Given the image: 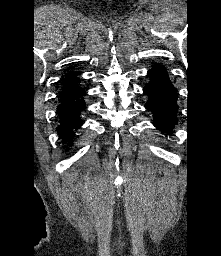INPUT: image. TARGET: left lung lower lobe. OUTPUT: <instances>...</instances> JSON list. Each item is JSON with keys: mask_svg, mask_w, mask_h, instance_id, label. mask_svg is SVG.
Segmentation results:
<instances>
[{"mask_svg": "<svg viewBox=\"0 0 221 256\" xmlns=\"http://www.w3.org/2000/svg\"><path fill=\"white\" fill-rule=\"evenodd\" d=\"M148 76L151 81L143 89L149 97L145 107L153 112L154 126L170 133L177 123L176 91L163 68L154 66L148 71Z\"/></svg>", "mask_w": 221, "mask_h": 256, "instance_id": "left-lung-lower-lobe-1", "label": "left lung lower lobe"}]
</instances>
